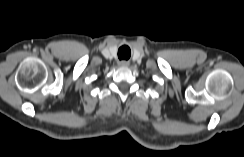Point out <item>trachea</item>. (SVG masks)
<instances>
[{"mask_svg":"<svg viewBox=\"0 0 244 157\" xmlns=\"http://www.w3.org/2000/svg\"><path fill=\"white\" fill-rule=\"evenodd\" d=\"M131 55L130 49L127 46H122L118 51V57L120 59H128Z\"/></svg>","mask_w":244,"mask_h":157,"instance_id":"obj_1","label":"trachea"}]
</instances>
